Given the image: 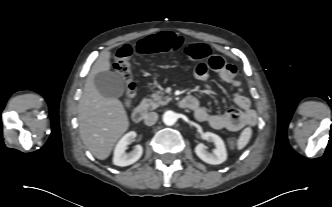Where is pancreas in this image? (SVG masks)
Masks as SVG:
<instances>
[{
	"label": "pancreas",
	"mask_w": 332,
	"mask_h": 207,
	"mask_svg": "<svg viewBox=\"0 0 332 207\" xmlns=\"http://www.w3.org/2000/svg\"><path fill=\"white\" fill-rule=\"evenodd\" d=\"M170 101L168 96H164L163 92H156L150 98H144L140 106L145 110H154L161 105H166Z\"/></svg>",
	"instance_id": "pancreas-1"
}]
</instances>
